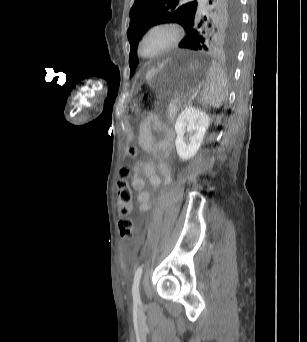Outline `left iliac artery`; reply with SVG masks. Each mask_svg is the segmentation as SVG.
<instances>
[{
    "label": "left iliac artery",
    "mask_w": 307,
    "mask_h": 342,
    "mask_svg": "<svg viewBox=\"0 0 307 342\" xmlns=\"http://www.w3.org/2000/svg\"><path fill=\"white\" fill-rule=\"evenodd\" d=\"M142 266H139L136 271H135V275H134V282H133V286H132V295H133V301L134 303H140V294H139V282H140V278L142 275Z\"/></svg>",
    "instance_id": "44dca946"
}]
</instances>
